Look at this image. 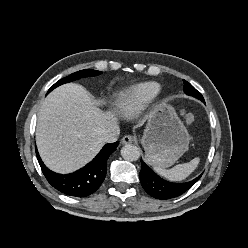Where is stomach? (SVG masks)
Returning a JSON list of instances; mask_svg holds the SVG:
<instances>
[{
    "label": "stomach",
    "mask_w": 248,
    "mask_h": 248,
    "mask_svg": "<svg viewBox=\"0 0 248 248\" xmlns=\"http://www.w3.org/2000/svg\"><path fill=\"white\" fill-rule=\"evenodd\" d=\"M189 140L186 127L170 104L163 101L150 110L141 143L151 165L172 166L188 150Z\"/></svg>",
    "instance_id": "stomach-1"
}]
</instances>
